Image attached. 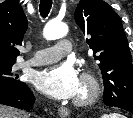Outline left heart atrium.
Segmentation results:
<instances>
[{
    "instance_id": "1",
    "label": "left heart atrium",
    "mask_w": 133,
    "mask_h": 118,
    "mask_svg": "<svg viewBox=\"0 0 133 118\" xmlns=\"http://www.w3.org/2000/svg\"><path fill=\"white\" fill-rule=\"evenodd\" d=\"M37 88L55 99H70L78 95L81 81L69 64H61L40 72L35 80Z\"/></svg>"
}]
</instances>
